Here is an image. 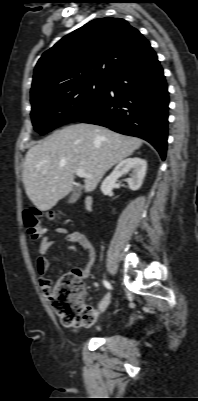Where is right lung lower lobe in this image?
Masks as SVG:
<instances>
[{"label": "right lung lower lobe", "mask_w": 198, "mask_h": 401, "mask_svg": "<svg viewBox=\"0 0 198 401\" xmlns=\"http://www.w3.org/2000/svg\"><path fill=\"white\" fill-rule=\"evenodd\" d=\"M168 91L163 69L150 47L107 80L97 104L78 120L140 137L164 160L168 136Z\"/></svg>", "instance_id": "obj_1"}]
</instances>
